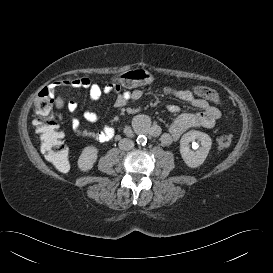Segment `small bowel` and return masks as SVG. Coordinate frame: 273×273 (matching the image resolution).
I'll return each instance as SVG.
<instances>
[{"label": "small bowel", "mask_w": 273, "mask_h": 273, "mask_svg": "<svg viewBox=\"0 0 273 273\" xmlns=\"http://www.w3.org/2000/svg\"><path fill=\"white\" fill-rule=\"evenodd\" d=\"M62 83L74 88L87 89L93 103L99 101L104 94L113 92L116 94L114 105L118 108L124 107L131 100H138L144 95V91L138 88L122 92L121 88L117 87L114 82H110L106 86L102 87L99 83L94 82L88 77L66 80ZM161 92L166 96L188 102L199 110L198 112L180 114L170 124L168 131L164 133H162L160 125L155 122L151 123L149 118L145 115H139L134 119V124L140 130L148 131L154 137L160 136V141L164 145H169L178 140L185 131L191 128L203 127L209 129L214 127L221 116L220 111L216 107L211 106L205 99H203V97H197L195 91L192 92L190 90H181L165 86L161 88ZM67 108L69 111L74 112L77 108V104L70 101L67 104ZM167 111L172 114H177L180 112V108L177 105L170 104L167 106ZM83 116L85 120L91 123H95L99 120V116L93 107H88L84 111ZM71 125L73 129L82 136L96 141L103 142L108 140L111 136L108 127L98 131H87L81 133L79 131L80 121L78 118H72Z\"/></svg>", "instance_id": "1"}]
</instances>
